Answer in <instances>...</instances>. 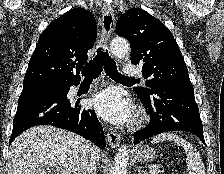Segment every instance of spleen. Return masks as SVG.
I'll use <instances>...</instances> for the list:
<instances>
[{
  "mask_svg": "<svg viewBox=\"0 0 224 174\" xmlns=\"http://www.w3.org/2000/svg\"><path fill=\"white\" fill-rule=\"evenodd\" d=\"M170 140L174 141L178 145H181L186 152V163L189 174H206L205 166L201 159L199 152L193 147V145L184 139L178 137L173 133H161L154 137L151 143H159L161 141Z\"/></svg>",
  "mask_w": 224,
  "mask_h": 174,
  "instance_id": "3e777b00",
  "label": "spleen"
}]
</instances>
